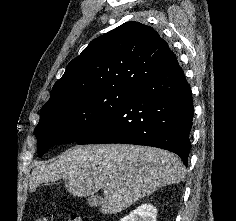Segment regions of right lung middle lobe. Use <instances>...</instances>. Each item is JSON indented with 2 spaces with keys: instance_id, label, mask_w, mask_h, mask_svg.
Returning <instances> with one entry per match:
<instances>
[{
  "instance_id": "1",
  "label": "right lung middle lobe",
  "mask_w": 236,
  "mask_h": 221,
  "mask_svg": "<svg viewBox=\"0 0 236 221\" xmlns=\"http://www.w3.org/2000/svg\"><path fill=\"white\" fill-rule=\"evenodd\" d=\"M134 90L116 89L86 95L65 104L43 107L35 128L38 156L49 148L76 142L123 105Z\"/></svg>"
}]
</instances>
